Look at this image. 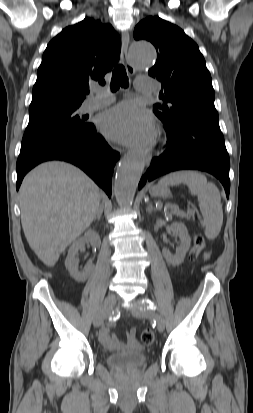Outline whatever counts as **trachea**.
Instances as JSON below:
<instances>
[{
  "instance_id": "trachea-1",
  "label": "trachea",
  "mask_w": 253,
  "mask_h": 413,
  "mask_svg": "<svg viewBox=\"0 0 253 413\" xmlns=\"http://www.w3.org/2000/svg\"><path fill=\"white\" fill-rule=\"evenodd\" d=\"M129 85L128 77L123 65H117L113 72L111 78L110 88L112 92L117 91L120 87L127 88Z\"/></svg>"
}]
</instances>
